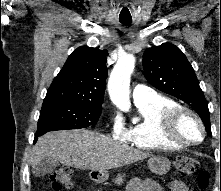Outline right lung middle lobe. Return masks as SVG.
<instances>
[{"instance_id": "right-lung-middle-lobe-1", "label": "right lung middle lobe", "mask_w": 221, "mask_h": 191, "mask_svg": "<svg viewBox=\"0 0 221 191\" xmlns=\"http://www.w3.org/2000/svg\"><path fill=\"white\" fill-rule=\"evenodd\" d=\"M101 108L102 105L79 102L42 105L36 135L95 125L101 115Z\"/></svg>"}]
</instances>
